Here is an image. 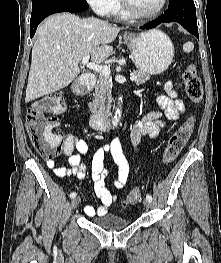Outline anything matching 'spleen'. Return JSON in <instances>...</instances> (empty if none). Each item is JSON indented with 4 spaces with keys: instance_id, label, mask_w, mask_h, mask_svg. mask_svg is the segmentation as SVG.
Wrapping results in <instances>:
<instances>
[{
    "instance_id": "1",
    "label": "spleen",
    "mask_w": 221,
    "mask_h": 263,
    "mask_svg": "<svg viewBox=\"0 0 221 263\" xmlns=\"http://www.w3.org/2000/svg\"><path fill=\"white\" fill-rule=\"evenodd\" d=\"M194 48V44L192 42H186L184 45H183V50L184 52L186 53H189L193 50Z\"/></svg>"
}]
</instances>
